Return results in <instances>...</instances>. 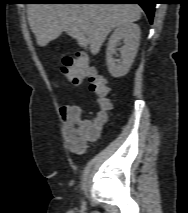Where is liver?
Returning a JSON list of instances; mask_svg holds the SVG:
<instances>
[{
  "label": "liver",
  "instance_id": "obj_1",
  "mask_svg": "<svg viewBox=\"0 0 188 213\" xmlns=\"http://www.w3.org/2000/svg\"><path fill=\"white\" fill-rule=\"evenodd\" d=\"M27 15L40 47L65 32L96 55L115 27L141 18V8L137 4H29Z\"/></svg>",
  "mask_w": 188,
  "mask_h": 213
}]
</instances>
